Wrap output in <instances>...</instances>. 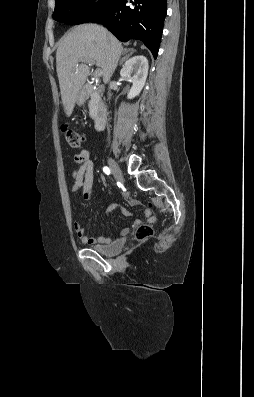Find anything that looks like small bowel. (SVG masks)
<instances>
[{
    "label": "small bowel",
    "mask_w": 254,
    "mask_h": 397,
    "mask_svg": "<svg viewBox=\"0 0 254 397\" xmlns=\"http://www.w3.org/2000/svg\"><path fill=\"white\" fill-rule=\"evenodd\" d=\"M73 162L78 165V168L72 171V177L74 183L71 187V194L75 195L80 193L81 197L85 200H89L92 192V186L94 181V164L93 161L90 159L89 151L86 149L80 150L74 157ZM126 200L131 205H137V200L131 196L127 195ZM141 209L145 213V219L149 223H153L155 221V217L151 214V211L148 208L141 207ZM110 210H119L125 216H130V212L121 209L118 206H112ZM141 224V220L137 219L134 221V225L138 226ZM74 230L78 236V238L84 243L88 245H96V244H108L111 242L109 237L99 236V237H91L88 236L85 232L83 226L75 222L74 223ZM129 229L125 228L122 231L123 235L128 234Z\"/></svg>",
    "instance_id": "obj_1"
}]
</instances>
